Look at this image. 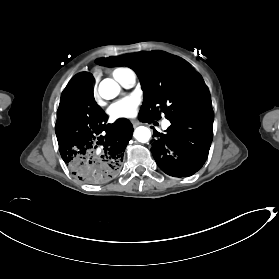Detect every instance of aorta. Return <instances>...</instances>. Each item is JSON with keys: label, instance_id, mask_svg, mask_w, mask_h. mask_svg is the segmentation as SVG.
<instances>
[{"label": "aorta", "instance_id": "aorta-1", "mask_svg": "<svg viewBox=\"0 0 279 279\" xmlns=\"http://www.w3.org/2000/svg\"><path fill=\"white\" fill-rule=\"evenodd\" d=\"M120 89L116 81L106 78L100 82L98 91L103 99L110 100L119 94ZM133 136L137 141L146 143L151 138V131L145 126H139L135 129Z\"/></svg>", "mask_w": 279, "mask_h": 279}]
</instances>
